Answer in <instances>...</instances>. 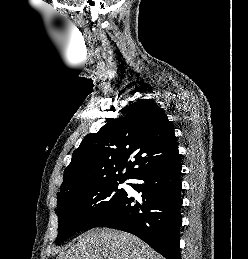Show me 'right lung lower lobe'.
Returning a JSON list of instances; mask_svg holds the SVG:
<instances>
[{
	"instance_id": "1",
	"label": "right lung lower lobe",
	"mask_w": 248,
	"mask_h": 259,
	"mask_svg": "<svg viewBox=\"0 0 248 259\" xmlns=\"http://www.w3.org/2000/svg\"><path fill=\"white\" fill-rule=\"evenodd\" d=\"M181 161L179 154L137 173L129 184L142 193V202L126 195L113 216L101 227L129 232L141 238L166 259H181L179 228L182 225Z\"/></svg>"
}]
</instances>
